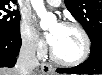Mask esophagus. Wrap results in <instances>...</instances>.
<instances>
[{"label":"esophagus","instance_id":"esophagus-1","mask_svg":"<svg viewBox=\"0 0 102 75\" xmlns=\"http://www.w3.org/2000/svg\"><path fill=\"white\" fill-rule=\"evenodd\" d=\"M41 70H42V72L44 73V74H53L54 73V68L51 66V65H49V64H47V63H44L43 65H42V67H41Z\"/></svg>","mask_w":102,"mask_h":75}]
</instances>
